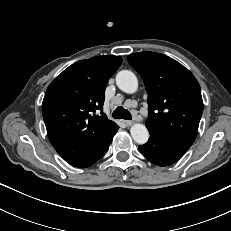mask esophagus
Wrapping results in <instances>:
<instances>
[{
	"label": "esophagus",
	"instance_id": "34e87169",
	"mask_svg": "<svg viewBox=\"0 0 231 231\" xmlns=\"http://www.w3.org/2000/svg\"><path fill=\"white\" fill-rule=\"evenodd\" d=\"M124 123H125L127 126H131V125L134 124V122L131 121V120H126V121H124Z\"/></svg>",
	"mask_w": 231,
	"mask_h": 231
}]
</instances>
